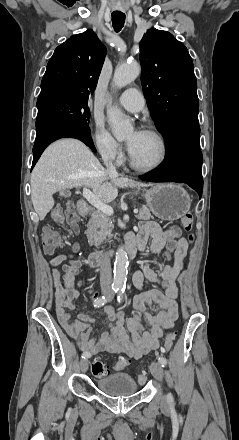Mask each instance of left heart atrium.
Wrapping results in <instances>:
<instances>
[{"label":"left heart atrium","mask_w":239,"mask_h":440,"mask_svg":"<svg viewBox=\"0 0 239 440\" xmlns=\"http://www.w3.org/2000/svg\"><path fill=\"white\" fill-rule=\"evenodd\" d=\"M142 133H143V131L140 130V129H136V130L132 133L131 138H130V139L128 140V142H127V148H128V150H129L130 152L133 151V149H134V147H135V145H136V143H137V140L139 139V137L141 136Z\"/></svg>","instance_id":"obj_1"}]
</instances>
